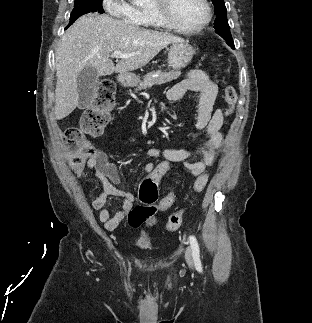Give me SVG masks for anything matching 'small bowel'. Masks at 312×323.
<instances>
[{
	"mask_svg": "<svg viewBox=\"0 0 312 323\" xmlns=\"http://www.w3.org/2000/svg\"><path fill=\"white\" fill-rule=\"evenodd\" d=\"M187 91H194L200 95L195 128L203 133V142L194 148L159 149L150 147L146 151V156L150 160L163 156L170 158V163L183 162L188 173L193 178H198L207 167L213 164L222 147L224 138L220 130L224 116L220 108H214L218 88L206 72L201 69L191 70L186 78L169 88L167 99L171 102L178 101ZM174 114L176 113L174 112ZM194 157L199 159L190 162ZM87 164L102 184L101 194L92 200L91 205L94 210L99 211V220L107 230H114L124 221L132 228H139L143 225L152 226L156 223L154 214L140 216V209L134 207L136 200L134 192L119 188L120 175L117 167L108 161L103 151H96ZM151 167H156L152 161L144 165V171L149 176H151ZM109 197H117L122 201L120 210L114 215H111L110 208L106 206Z\"/></svg>",
	"mask_w": 312,
	"mask_h": 323,
	"instance_id": "c3829d8e",
	"label": "small bowel"
}]
</instances>
